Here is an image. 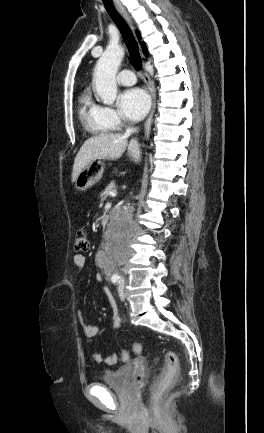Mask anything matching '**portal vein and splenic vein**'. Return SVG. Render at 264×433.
I'll list each match as a JSON object with an SVG mask.
<instances>
[{"label":"portal vein and splenic vein","instance_id":"18ae733b","mask_svg":"<svg viewBox=\"0 0 264 433\" xmlns=\"http://www.w3.org/2000/svg\"><path fill=\"white\" fill-rule=\"evenodd\" d=\"M110 195H111L112 197H115V196L117 195V193H116V191H112V192H110Z\"/></svg>","mask_w":264,"mask_h":433}]
</instances>
